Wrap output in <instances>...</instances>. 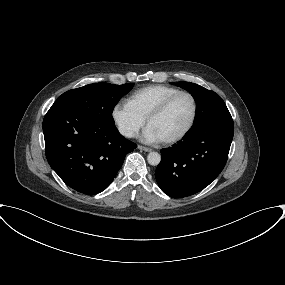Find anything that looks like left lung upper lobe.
Masks as SVG:
<instances>
[{
  "label": "left lung upper lobe",
  "mask_w": 285,
  "mask_h": 285,
  "mask_svg": "<svg viewBox=\"0 0 285 285\" xmlns=\"http://www.w3.org/2000/svg\"><path fill=\"white\" fill-rule=\"evenodd\" d=\"M176 85L187 90L196 101L195 120L190 130L215 123H233L229 110L218 94L190 82H178Z\"/></svg>",
  "instance_id": "1"
}]
</instances>
